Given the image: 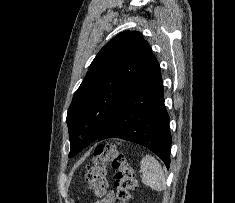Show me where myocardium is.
Here are the masks:
<instances>
[{
	"mask_svg": "<svg viewBox=\"0 0 235 203\" xmlns=\"http://www.w3.org/2000/svg\"><path fill=\"white\" fill-rule=\"evenodd\" d=\"M92 127V123L90 121H87L83 124L82 129L85 133L89 132Z\"/></svg>",
	"mask_w": 235,
	"mask_h": 203,
	"instance_id": "myocardium-1",
	"label": "myocardium"
}]
</instances>
